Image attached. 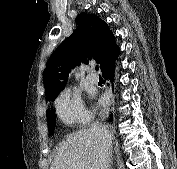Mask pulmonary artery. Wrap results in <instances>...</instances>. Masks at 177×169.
Wrapping results in <instances>:
<instances>
[{"label":"pulmonary artery","instance_id":"pulmonary-artery-1","mask_svg":"<svg viewBox=\"0 0 177 169\" xmlns=\"http://www.w3.org/2000/svg\"><path fill=\"white\" fill-rule=\"evenodd\" d=\"M93 67L90 66V69H92ZM87 81L91 84H96L99 81L98 75H96L95 73H89L87 75Z\"/></svg>","mask_w":177,"mask_h":169}]
</instances>
